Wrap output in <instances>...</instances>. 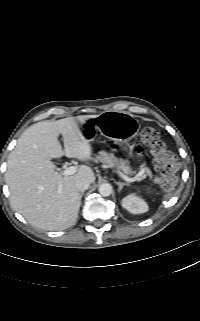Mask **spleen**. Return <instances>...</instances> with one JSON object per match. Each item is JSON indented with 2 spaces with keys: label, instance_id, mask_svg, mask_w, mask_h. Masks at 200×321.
Instances as JSON below:
<instances>
[{
  "label": "spleen",
  "instance_id": "spleen-1",
  "mask_svg": "<svg viewBox=\"0 0 200 321\" xmlns=\"http://www.w3.org/2000/svg\"><path fill=\"white\" fill-rule=\"evenodd\" d=\"M169 196H170V194L166 195V197H169Z\"/></svg>",
  "mask_w": 200,
  "mask_h": 321
}]
</instances>
